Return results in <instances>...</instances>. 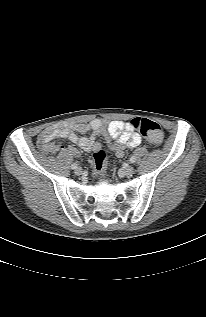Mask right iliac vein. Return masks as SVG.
<instances>
[{"label":"right iliac vein","mask_w":206,"mask_h":317,"mask_svg":"<svg viewBox=\"0 0 206 317\" xmlns=\"http://www.w3.org/2000/svg\"><path fill=\"white\" fill-rule=\"evenodd\" d=\"M75 174L78 175V176L81 175L82 174V169L81 168H76L75 169Z\"/></svg>","instance_id":"63e3f726"}]
</instances>
